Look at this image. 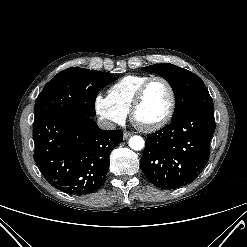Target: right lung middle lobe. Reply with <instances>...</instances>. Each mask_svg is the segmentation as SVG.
<instances>
[{
	"label": "right lung middle lobe",
	"mask_w": 247,
	"mask_h": 247,
	"mask_svg": "<svg viewBox=\"0 0 247 247\" xmlns=\"http://www.w3.org/2000/svg\"><path fill=\"white\" fill-rule=\"evenodd\" d=\"M111 74L71 67L56 74L35 102V120L54 113L93 117L98 90L115 81Z\"/></svg>",
	"instance_id": "right-lung-middle-lobe-1"
}]
</instances>
